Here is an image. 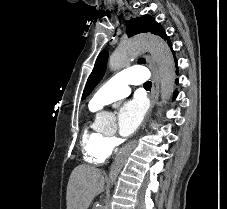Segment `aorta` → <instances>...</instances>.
<instances>
[{
    "mask_svg": "<svg viewBox=\"0 0 227 209\" xmlns=\"http://www.w3.org/2000/svg\"><path fill=\"white\" fill-rule=\"evenodd\" d=\"M143 51H149L155 60L161 77V95L163 99L170 96L176 79L175 62L167 43L153 35H140L121 43L109 57L110 70H119L126 67L132 58ZM131 152L130 147L124 148L112 164L108 184L112 186L127 161Z\"/></svg>",
    "mask_w": 227,
    "mask_h": 209,
    "instance_id": "1",
    "label": "aorta"
}]
</instances>
